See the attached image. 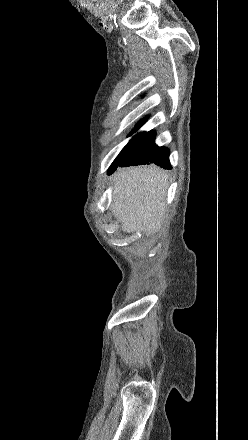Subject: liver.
<instances>
[{
  "instance_id": "liver-1",
  "label": "liver",
  "mask_w": 248,
  "mask_h": 440,
  "mask_svg": "<svg viewBox=\"0 0 248 440\" xmlns=\"http://www.w3.org/2000/svg\"><path fill=\"white\" fill-rule=\"evenodd\" d=\"M168 175L156 166L127 168L114 178L111 211L124 232L156 233L166 218Z\"/></svg>"
}]
</instances>
